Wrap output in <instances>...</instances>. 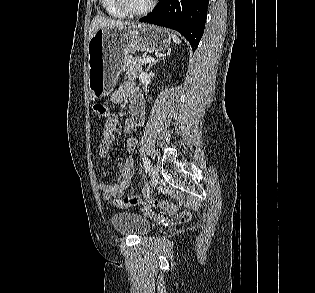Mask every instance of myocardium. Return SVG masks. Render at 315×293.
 <instances>
[{
  "label": "myocardium",
  "mask_w": 315,
  "mask_h": 293,
  "mask_svg": "<svg viewBox=\"0 0 315 293\" xmlns=\"http://www.w3.org/2000/svg\"><path fill=\"white\" fill-rule=\"evenodd\" d=\"M118 8L126 15L140 16L149 13L155 6L156 0H151L149 4L142 9H135L130 5L129 0H115Z\"/></svg>",
  "instance_id": "1"
}]
</instances>
